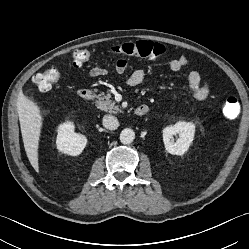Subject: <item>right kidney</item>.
Instances as JSON below:
<instances>
[{"label": "right kidney", "instance_id": "1", "mask_svg": "<svg viewBox=\"0 0 249 249\" xmlns=\"http://www.w3.org/2000/svg\"><path fill=\"white\" fill-rule=\"evenodd\" d=\"M87 144L85 136L74 133V125L66 122L58 127V135L56 139L57 149L71 156L79 155Z\"/></svg>", "mask_w": 249, "mask_h": 249}]
</instances>
